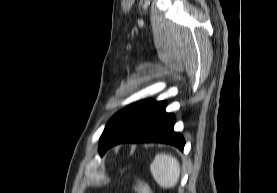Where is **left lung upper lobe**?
<instances>
[{
  "instance_id": "left-lung-upper-lobe-1",
  "label": "left lung upper lobe",
  "mask_w": 277,
  "mask_h": 193,
  "mask_svg": "<svg viewBox=\"0 0 277 193\" xmlns=\"http://www.w3.org/2000/svg\"><path fill=\"white\" fill-rule=\"evenodd\" d=\"M122 111H120V112H118L116 115H114L111 119H110V121L107 123V125H106V127H105V129H104V131H103V133H102V135H101V137H100V140H101V138H102V136L104 135V133L107 131V129L109 128V126L111 125V123L113 122V120L121 113ZM99 153H100V147H99Z\"/></svg>"
}]
</instances>
